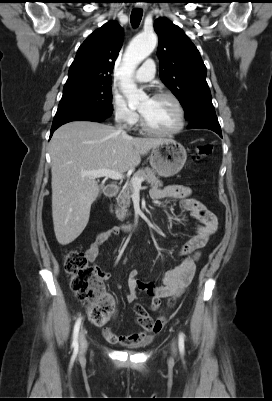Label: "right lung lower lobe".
<instances>
[{"label":"right lung lower lobe","instance_id":"right-lung-lower-lobe-1","mask_svg":"<svg viewBox=\"0 0 272 401\" xmlns=\"http://www.w3.org/2000/svg\"><path fill=\"white\" fill-rule=\"evenodd\" d=\"M106 118L105 117H98V116H94V115H79V116H75V117H71L69 119L57 122V123H53L52 124V128H51V132H50V138L53 134V132L60 127L61 125L71 122V121H94V122H102L104 121Z\"/></svg>","mask_w":272,"mask_h":401}]
</instances>
